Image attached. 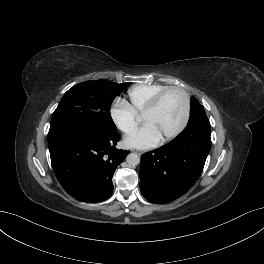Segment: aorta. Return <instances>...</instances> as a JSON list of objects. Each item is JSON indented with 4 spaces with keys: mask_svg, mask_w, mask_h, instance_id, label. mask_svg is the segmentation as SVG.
I'll return each mask as SVG.
<instances>
[{
    "mask_svg": "<svg viewBox=\"0 0 264 264\" xmlns=\"http://www.w3.org/2000/svg\"><path fill=\"white\" fill-rule=\"evenodd\" d=\"M126 161L129 165L136 166L140 163V157L136 153H130L126 158Z\"/></svg>",
    "mask_w": 264,
    "mask_h": 264,
    "instance_id": "obj_1",
    "label": "aorta"
}]
</instances>
